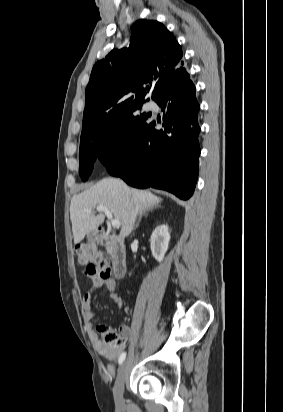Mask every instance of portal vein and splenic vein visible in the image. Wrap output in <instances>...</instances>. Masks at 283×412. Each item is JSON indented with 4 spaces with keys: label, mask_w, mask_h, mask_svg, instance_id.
<instances>
[{
    "label": "portal vein and splenic vein",
    "mask_w": 283,
    "mask_h": 412,
    "mask_svg": "<svg viewBox=\"0 0 283 412\" xmlns=\"http://www.w3.org/2000/svg\"><path fill=\"white\" fill-rule=\"evenodd\" d=\"M96 210H97L98 212H103V213L107 216V218L109 219L112 227H114V228H120V226H121L120 221L117 220V219H113V216H112L111 212L109 211V209H108L107 207H105V206H98V207L96 208ZM84 211H85L86 213H91V210H90V209H84Z\"/></svg>",
    "instance_id": "1"
}]
</instances>
